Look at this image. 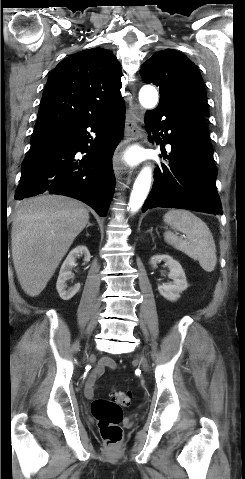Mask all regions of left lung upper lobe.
I'll return each instance as SVG.
<instances>
[{
	"instance_id": "left-lung-upper-lobe-1",
	"label": "left lung upper lobe",
	"mask_w": 245,
	"mask_h": 479,
	"mask_svg": "<svg viewBox=\"0 0 245 479\" xmlns=\"http://www.w3.org/2000/svg\"><path fill=\"white\" fill-rule=\"evenodd\" d=\"M141 76L159 87L158 108L171 115L209 116L206 91L195 64L174 49L154 53L141 67Z\"/></svg>"
}]
</instances>
